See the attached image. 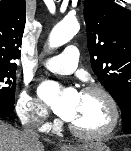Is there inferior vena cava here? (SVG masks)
Returning <instances> with one entry per match:
<instances>
[{"mask_svg": "<svg viewBox=\"0 0 131 151\" xmlns=\"http://www.w3.org/2000/svg\"><path fill=\"white\" fill-rule=\"evenodd\" d=\"M33 126H34V124L31 123L29 127H26L24 130V134L33 140H38L39 135L36 132V130L33 128Z\"/></svg>", "mask_w": 131, "mask_h": 151, "instance_id": "1", "label": "inferior vena cava"}]
</instances>
